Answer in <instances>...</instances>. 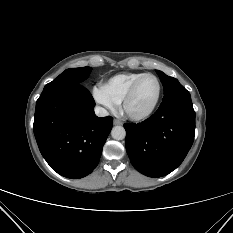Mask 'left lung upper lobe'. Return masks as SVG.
I'll return each mask as SVG.
<instances>
[{"mask_svg": "<svg viewBox=\"0 0 233 233\" xmlns=\"http://www.w3.org/2000/svg\"><path fill=\"white\" fill-rule=\"evenodd\" d=\"M157 74L160 77V80L164 86V98H168L180 93L188 92L176 78L167 76L161 71H157Z\"/></svg>", "mask_w": 233, "mask_h": 233, "instance_id": "1", "label": "left lung upper lobe"}]
</instances>
